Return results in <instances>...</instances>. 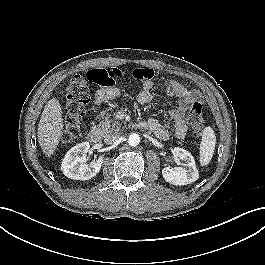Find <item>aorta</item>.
<instances>
[{
  "label": "aorta",
  "mask_w": 265,
  "mask_h": 265,
  "mask_svg": "<svg viewBox=\"0 0 265 265\" xmlns=\"http://www.w3.org/2000/svg\"><path fill=\"white\" fill-rule=\"evenodd\" d=\"M140 143V136L136 133H132L128 137V144L132 147L139 145Z\"/></svg>",
  "instance_id": "1"
}]
</instances>
